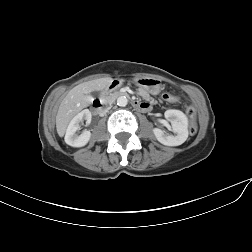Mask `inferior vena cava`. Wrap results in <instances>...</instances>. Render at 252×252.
Wrapping results in <instances>:
<instances>
[{"label":"inferior vena cava","instance_id":"602c4592","mask_svg":"<svg viewBox=\"0 0 252 252\" xmlns=\"http://www.w3.org/2000/svg\"><path fill=\"white\" fill-rule=\"evenodd\" d=\"M110 107L106 108L104 111H103V115L106 114V112L109 110Z\"/></svg>","mask_w":252,"mask_h":252}]
</instances>
